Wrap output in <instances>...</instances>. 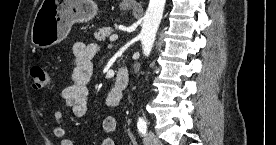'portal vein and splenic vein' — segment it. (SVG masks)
Instances as JSON below:
<instances>
[{
	"label": "portal vein and splenic vein",
	"mask_w": 276,
	"mask_h": 145,
	"mask_svg": "<svg viewBox=\"0 0 276 145\" xmlns=\"http://www.w3.org/2000/svg\"><path fill=\"white\" fill-rule=\"evenodd\" d=\"M117 39H118V36L115 35V34L110 36V41H111V42H113V41H115V40H117Z\"/></svg>",
	"instance_id": "portal-vein-and-splenic-vein-1"
}]
</instances>
